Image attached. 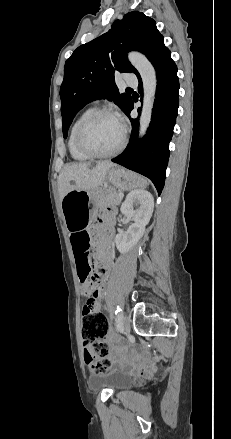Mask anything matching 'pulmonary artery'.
<instances>
[{"mask_svg":"<svg viewBox=\"0 0 231 439\" xmlns=\"http://www.w3.org/2000/svg\"><path fill=\"white\" fill-rule=\"evenodd\" d=\"M124 81H125V84L128 86H137L138 85V80H137L136 76H134L132 74H126Z\"/></svg>","mask_w":231,"mask_h":439,"instance_id":"1","label":"pulmonary artery"}]
</instances>
